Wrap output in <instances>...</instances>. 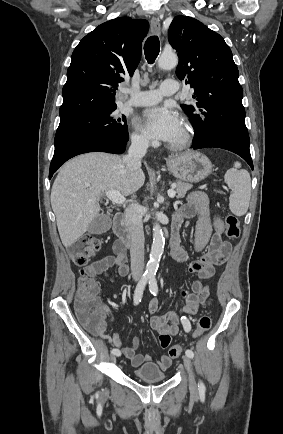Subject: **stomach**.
Listing matches in <instances>:
<instances>
[{"label":"stomach","instance_id":"obj_1","mask_svg":"<svg viewBox=\"0 0 283 434\" xmlns=\"http://www.w3.org/2000/svg\"><path fill=\"white\" fill-rule=\"evenodd\" d=\"M167 166L177 179L190 183L200 182L212 172L208 157L196 151L171 156Z\"/></svg>","mask_w":283,"mask_h":434}]
</instances>
